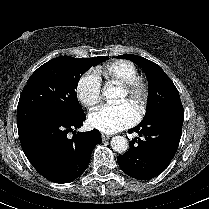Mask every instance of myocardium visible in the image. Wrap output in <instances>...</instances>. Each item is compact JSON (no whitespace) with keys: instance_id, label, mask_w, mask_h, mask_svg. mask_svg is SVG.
<instances>
[{"instance_id":"myocardium-1","label":"myocardium","mask_w":209,"mask_h":209,"mask_svg":"<svg viewBox=\"0 0 209 209\" xmlns=\"http://www.w3.org/2000/svg\"><path fill=\"white\" fill-rule=\"evenodd\" d=\"M121 88L130 97H134L140 93V99L136 110L139 117H141L146 111L150 95V87L148 82L144 78L136 76L126 84L121 85Z\"/></svg>"}]
</instances>
